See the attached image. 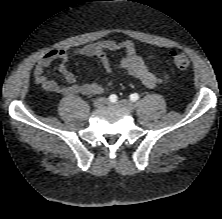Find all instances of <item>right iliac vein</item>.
<instances>
[{
    "label": "right iliac vein",
    "mask_w": 222,
    "mask_h": 219,
    "mask_svg": "<svg viewBox=\"0 0 222 219\" xmlns=\"http://www.w3.org/2000/svg\"><path fill=\"white\" fill-rule=\"evenodd\" d=\"M107 103V100L105 98H98L94 101V106L97 108H100L104 106Z\"/></svg>",
    "instance_id": "1"
}]
</instances>
